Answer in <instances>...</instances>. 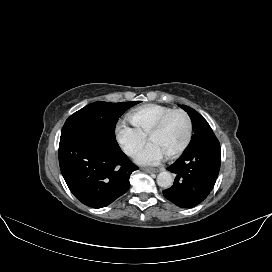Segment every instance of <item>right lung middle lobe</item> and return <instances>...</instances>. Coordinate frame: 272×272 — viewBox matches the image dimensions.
Instances as JSON below:
<instances>
[{"label":"right lung middle lobe","mask_w":272,"mask_h":272,"mask_svg":"<svg viewBox=\"0 0 272 272\" xmlns=\"http://www.w3.org/2000/svg\"><path fill=\"white\" fill-rule=\"evenodd\" d=\"M140 101L109 103L94 102L72 114L64 126L79 125L92 128L115 138V126L119 117Z\"/></svg>","instance_id":"1"}]
</instances>
